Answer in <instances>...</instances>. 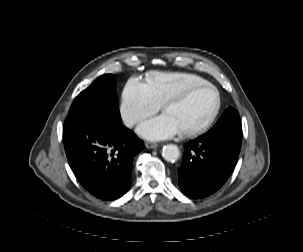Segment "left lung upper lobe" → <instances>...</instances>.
Here are the masks:
<instances>
[{
  "label": "left lung upper lobe",
  "mask_w": 303,
  "mask_h": 252,
  "mask_svg": "<svg viewBox=\"0 0 303 252\" xmlns=\"http://www.w3.org/2000/svg\"><path fill=\"white\" fill-rule=\"evenodd\" d=\"M204 136L208 138L241 139L242 127L238 112L228 107L220 119Z\"/></svg>",
  "instance_id": "5c2ea615"
}]
</instances>
